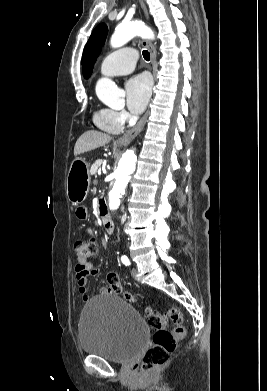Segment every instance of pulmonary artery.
Segmentation results:
<instances>
[{
    "label": "pulmonary artery",
    "instance_id": "1",
    "mask_svg": "<svg viewBox=\"0 0 267 391\" xmlns=\"http://www.w3.org/2000/svg\"><path fill=\"white\" fill-rule=\"evenodd\" d=\"M137 53L131 47L118 49L108 54L100 65L103 76H119L132 72L135 69Z\"/></svg>",
    "mask_w": 267,
    "mask_h": 391
}]
</instances>
